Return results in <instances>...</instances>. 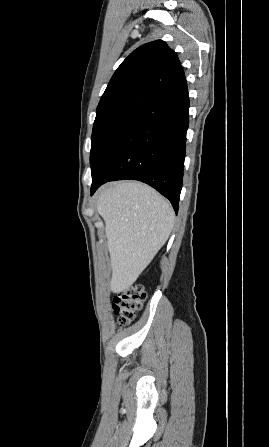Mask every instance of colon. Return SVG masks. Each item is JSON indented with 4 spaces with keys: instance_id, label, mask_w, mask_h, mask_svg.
Masks as SVG:
<instances>
[{
    "instance_id": "5ec220e1",
    "label": "colon",
    "mask_w": 269,
    "mask_h": 447,
    "mask_svg": "<svg viewBox=\"0 0 269 447\" xmlns=\"http://www.w3.org/2000/svg\"><path fill=\"white\" fill-rule=\"evenodd\" d=\"M145 291L142 286H131L118 292L112 302V310L118 317L117 326L132 323L143 307Z\"/></svg>"
}]
</instances>
